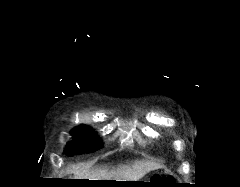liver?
<instances>
[{
  "label": "liver",
  "instance_id": "6515ba94",
  "mask_svg": "<svg viewBox=\"0 0 240 187\" xmlns=\"http://www.w3.org/2000/svg\"><path fill=\"white\" fill-rule=\"evenodd\" d=\"M160 166L155 162L150 161H135L131 166L126 165L120 167L118 170L109 171L107 169H90L88 167H73L72 172L74 179H89V180H111L125 179L122 181H137L145 176L148 172L158 169ZM96 178V179H90ZM103 178V179H101ZM105 178V179H104ZM121 181V180H117Z\"/></svg>",
  "mask_w": 240,
  "mask_h": 187
}]
</instances>
